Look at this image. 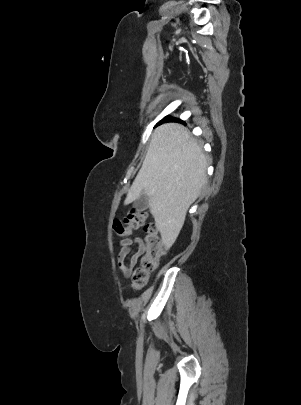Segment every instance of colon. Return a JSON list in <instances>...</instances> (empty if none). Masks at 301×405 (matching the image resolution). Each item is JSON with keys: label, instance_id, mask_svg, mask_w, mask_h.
I'll return each instance as SVG.
<instances>
[{"label": "colon", "instance_id": "5ec220e1", "mask_svg": "<svg viewBox=\"0 0 301 405\" xmlns=\"http://www.w3.org/2000/svg\"><path fill=\"white\" fill-rule=\"evenodd\" d=\"M147 214L141 210H130L123 220H115L113 230L118 236H129L133 230L144 226L143 246L139 265L132 275V283L136 288L143 287L149 276L159 267L165 247L154 224H145Z\"/></svg>", "mask_w": 301, "mask_h": 405}]
</instances>
